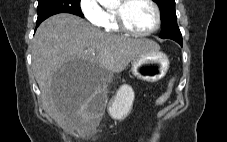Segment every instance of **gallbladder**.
Returning <instances> with one entry per match:
<instances>
[{"instance_id": "bac80fb5", "label": "gallbladder", "mask_w": 227, "mask_h": 142, "mask_svg": "<svg viewBox=\"0 0 227 142\" xmlns=\"http://www.w3.org/2000/svg\"><path fill=\"white\" fill-rule=\"evenodd\" d=\"M107 97H105V93H95V97L89 103L87 107V114L89 116H97L99 113H104V109L107 108Z\"/></svg>"}]
</instances>
